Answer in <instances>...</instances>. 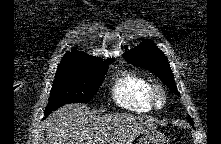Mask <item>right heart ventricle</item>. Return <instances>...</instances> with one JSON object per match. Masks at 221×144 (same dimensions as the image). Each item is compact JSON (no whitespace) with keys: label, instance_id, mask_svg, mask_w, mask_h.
Wrapping results in <instances>:
<instances>
[{"label":"right heart ventricle","instance_id":"right-heart-ventricle-1","mask_svg":"<svg viewBox=\"0 0 221 144\" xmlns=\"http://www.w3.org/2000/svg\"><path fill=\"white\" fill-rule=\"evenodd\" d=\"M151 82L132 71H123L115 80L112 95L115 103L130 111L143 113L152 110Z\"/></svg>","mask_w":221,"mask_h":144}]
</instances>
